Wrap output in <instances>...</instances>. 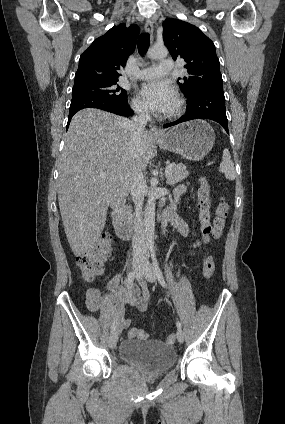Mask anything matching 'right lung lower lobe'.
I'll return each instance as SVG.
<instances>
[{
  "label": "right lung lower lobe",
  "mask_w": 285,
  "mask_h": 424,
  "mask_svg": "<svg viewBox=\"0 0 285 424\" xmlns=\"http://www.w3.org/2000/svg\"><path fill=\"white\" fill-rule=\"evenodd\" d=\"M84 108H97L105 110L121 116H130L133 111L130 109L127 102L121 103L107 98H101L97 96L81 95L72 97L69 118L66 129H68L69 123L73 115Z\"/></svg>",
  "instance_id": "1"
}]
</instances>
